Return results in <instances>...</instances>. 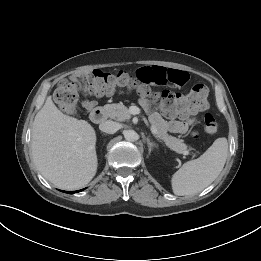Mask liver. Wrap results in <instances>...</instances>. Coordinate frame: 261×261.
I'll list each match as a JSON object with an SVG mask.
<instances>
[{"label": "liver", "mask_w": 261, "mask_h": 261, "mask_svg": "<svg viewBox=\"0 0 261 261\" xmlns=\"http://www.w3.org/2000/svg\"><path fill=\"white\" fill-rule=\"evenodd\" d=\"M95 145L94 128L63 114L48 96L35 116L31 137L32 158L42 176L62 189L87 185L97 171Z\"/></svg>", "instance_id": "6515ba94"}]
</instances>
